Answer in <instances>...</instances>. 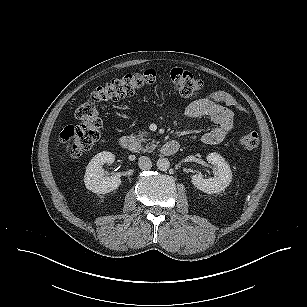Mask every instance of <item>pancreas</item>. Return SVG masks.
<instances>
[{
  "label": "pancreas",
  "mask_w": 307,
  "mask_h": 307,
  "mask_svg": "<svg viewBox=\"0 0 307 307\" xmlns=\"http://www.w3.org/2000/svg\"><path fill=\"white\" fill-rule=\"evenodd\" d=\"M146 134L147 132H141L136 136V140L139 143H145V147H140L139 150L142 152H152L157 147V144L155 143V140L151 141L150 138H146Z\"/></svg>",
  "instance_id": "cf45deb5"
}]
</instances>
